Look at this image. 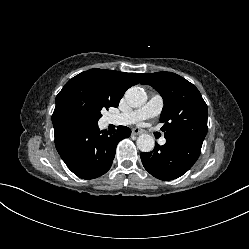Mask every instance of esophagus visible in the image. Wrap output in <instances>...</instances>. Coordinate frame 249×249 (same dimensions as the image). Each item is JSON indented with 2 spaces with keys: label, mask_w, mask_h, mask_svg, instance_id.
I'll return each mask as SVG.
<instances>
[{
  "label": "esophagus",
  "mask_w": 249,
  "mask_h": 249,
  "mask_svg": "<svg viewBox=\"0 0 249 249\" xmlns=\"http://www.w3.org/2000/svg\"><path fill=\"white\" fill-rule=\"evenodd\" d=\"M142 132L138 129V128H133L132 129V134L133 135H139V134H141Z\"/></svg>",
  "instance_id": "1"
}]
</instances>
